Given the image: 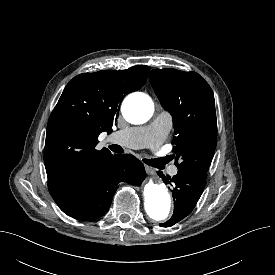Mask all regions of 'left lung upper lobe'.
I'll list each match as a JSON object with an SVG mask.
<instances>
[{
	"instance_id": "1",
	"label": "left lung upper lobe",
	"mask_w": 275,
	"mask_h": 275,
	"mask_svg": "<svg viewBox=\"0 0 275 275\" xmlns=\"http://www.w3.org/2000/svg\"><path fill=\"white\" fill-rule=\"evenodd\" d=\"M150 83L161 105L173 117V158L178 170L206 178L217 140L212 89L193 71L168 68L152 70Z\"/></svg>"
}]
</instances>
